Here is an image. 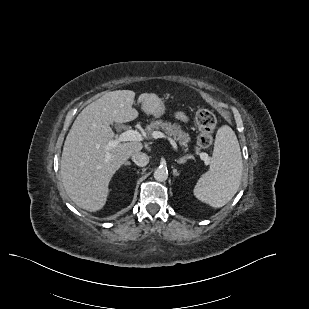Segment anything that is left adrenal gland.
<instances>
[{
  "label": "left adrenal gland",
  "mask_w": 309,
  "mask_h": 309,
  "mask_svg": "<svg viewBox=\"0 0 309 309\" xmlns=\"http://www.w3.org/2000/svg\"><path fill=\"white\" fill-rule=\"evenodd\" d=\"M192 156L191 155H185L183 157H181L180 159L175 160L178 164H184L187 159H191Z\"/></svg>",
  "instance_id": "1"
}]
</instances>
